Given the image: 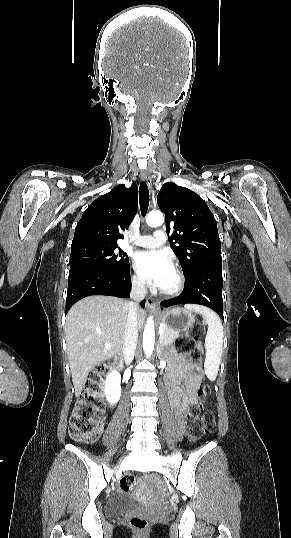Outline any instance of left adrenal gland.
<instances>
[{"instance_id":"obj_1","label":"left adrenal gland","mask_w":291,"mask_h":538,"mask_svg":"<svg viewBox=\"0 0 291 538\" xmlns=\"http://www.w3.org/2000/svg\"><path fill=\"white\" fill-rule=\"evenodd\" d=\"M161 353H162V345H161V342L159 341L157 344V354H158L159 359L161 358Z\"/></svg>"}]
</instances>
